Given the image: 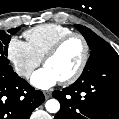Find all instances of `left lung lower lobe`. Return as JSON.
<instances>
[{
  "label": "left lung lower lobe",
  "mask_w": 119,
  "mask_h": 119,
  "mask_svg": "<svg viewBox=\"0 0 119 119\" xmlns=\"http://www.w3.org/2000/svg\"><path fill=\"white\" fill-rule=\"evenodd\" d=\"M52 95L61 104L55 119H119V58L91 68Z\"/></svg>",
  "instance_id": "1"
}]
</instances>
